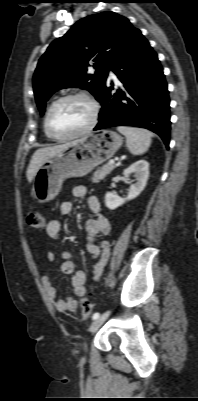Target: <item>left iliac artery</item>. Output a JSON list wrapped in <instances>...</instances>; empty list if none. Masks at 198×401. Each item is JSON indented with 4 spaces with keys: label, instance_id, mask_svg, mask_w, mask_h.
I'll use <instances>...</instances> for the list:
<instances>
[{
    "label": "left iliac artery",
    "instance_id": "1",
    "mask_svg": "<svg viewBox=\"0 0 198 401\" xmlns=\"http://www.w3.org/2000/svg\"><path fill=\"white\" fill-rule=\"evenodd\" d=\"M100 316V313L96 312L93 314L92 319L95 320Z\"/></svg>",
    "mask_w": 198,
    "mask_h": 401
}]
</instances>
